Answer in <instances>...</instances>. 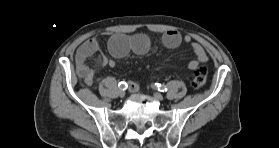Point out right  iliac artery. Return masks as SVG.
<instances>
[{
	"mask_svg": "<svg viewBox=\"0 0 279 148\" xmlns=\"http://www.w3.org/2000/svg\"><path fill=\"white\" fill-rule=\"evenodd\" d=\"M118 86L120 87V89H123V90L127 89V83L124 82V81H121V82L118 84Z\"/></svg>",
	"mask_w": 279,
	"mask_h": 148,
	"instance_id": "1",
	"label": "right iliac artery"
}]
</instances>
